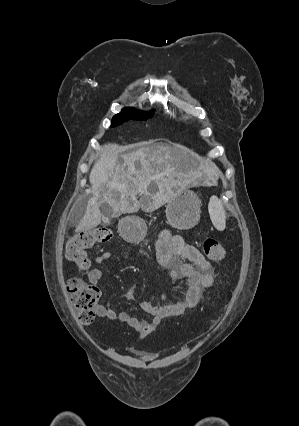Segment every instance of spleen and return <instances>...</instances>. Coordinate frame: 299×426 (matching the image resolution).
I'll return each mask as SVG.
<instances>
[{
    "label": "spleen",
    "mask_w": 299,
    "mask_h": 426,
    "mask_svg": "<svg viewBox=\"0 0 299 426\" xmlns=\"http://www.w3.org/2000/svg\"><path fill=\"white\" fill-rule=\"evenodd\" d=\"M208 211L214 227L219 231H223L226 227V215L223 204L217 196L210 198Z\"/></svg>",
    "instance_id": "obj_1"
}]
</instances>
